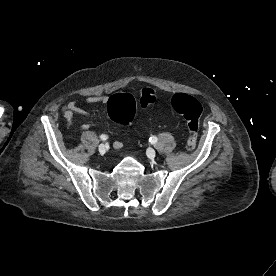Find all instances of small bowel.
Segmentation results:
<instances>
[{"instance_id": "1", "label": "small bowel", "mask_w": 276, "mask_h": 276, "mask_svg": "<svg viewBox=\"0 0 276 276\" xmlns=\"http://www.w3.org/2000/svg\"><path fill=\"white\" fill-rule=\"evenodd\" d=\"M86 104H106L108 101V97L104 95H94L88 96L82 100ZM80 100H72L63 108V117L68 126L73 125V117L75 114H78L84 118L88 117V112L80 107ZM89 123L82 124L81 128L86 130L89 129ZM114 147L116 149H120L124 146L123 141H115Z\"/></svg>"}]
</instances>
